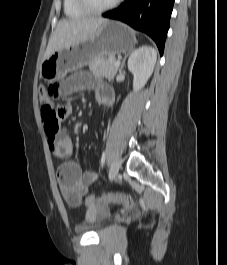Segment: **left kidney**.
<instances>
[{"label":"left kidney","mask_w":227,"mask_h":265,"mask_svg":"<svg viewBox=\"0 0 227 265\" xmlns=\"http://www.w3.org/2000/svg\"><path fill=\"white\" fill-rule=\"evenodd\" d=\"M156 59V50L148 45H144L131 53L128 59V69L134 76V92L145 86L153 73Z\"/></svg>","instance_id":"left-kidney-1"}]
</instances>
